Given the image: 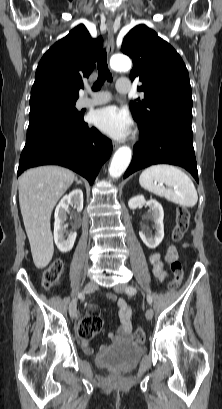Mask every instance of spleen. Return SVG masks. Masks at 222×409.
<instances>
[{
	"mask_svg": "<svg viewBox=\"0 0 222 409\" xmlns=\"http://www.w3.org/2000/svg\"><path fill=\"white\" fill-rule=\"evenodd\" d=\"M145 190L183 207H193L198 201L192 180L181 169L167 164L146 168L139 177ZM166 184L168 188L161 186Z\"/></svg>",
	"mask_w": 222,
	"mask_h": 409,
	"instance_id": "spleen-1",
	"label": "spleen"
}]
</instances>
